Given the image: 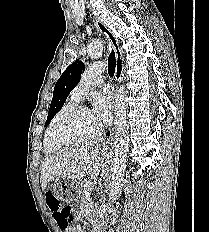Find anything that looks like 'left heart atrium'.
<instances>
[{
    "label": "left heart atrium",
    "mask_w": 209,
    "mask_h": 232,
    "mask_svg": "<svg viewBox=\"0 0 209 232\" xmlns=\"http://www.w3.org/2000/svg\"><path fill=\"white\" fill-rule=\"evenodd\" d=\"M112 108L113 94L110 88L106 87L94 95L92 112L99 123L108 119Z\"/></svg>",
    "instance_id": "left-heart-atrium-1"
}]
</instances>
